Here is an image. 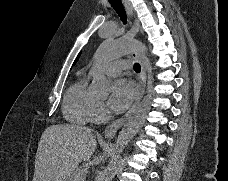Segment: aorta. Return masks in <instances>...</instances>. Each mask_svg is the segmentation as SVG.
Segmentation results:
<instances>
[{
  "mask_svg": "<svg viewBox=\"0 0 228 181\" xmlns=\"http://www.w3.org/2000/svg\"><path fill=\"white\" fill-rule=\"evenodd\" d=\"M147 51L145 45H140L134 40L121 38L118 40L107 39L95 53V66L91 70L93 77L92 90L98 95H107L111 84L101 72L100 66L114 58L120 57L132 51ZM153 92H150L137 106L128 121L124 124L116 140V155L119 156L130 140L144 125L147 115L151 109ZM113 178V167L108 165L102 175V181H111Z\"/></svg>",
  "mask_w": 228,
  "mask_h": 181,
  "instance_id": "1",
  "label": "aorta"
}]
</instances>
